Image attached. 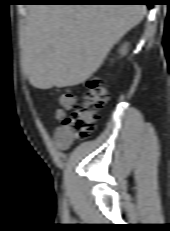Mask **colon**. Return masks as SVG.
I'll return each instance as SVG.
<instances>
[{
  "label": "colon",
  "mask_w": 170,
  "mask_h": 231,
  "mask_svg": "<svg viewBox=\"0 0 170 231\" xmlns=\"http://www.w3.org/2000/svg\"><path fill=\"white\" fill-rule=\"evenodd\" d=\"M108 99V90L103 80L97 76L88 81L86 92L71 116L66 117L64 109L74 106L73 94L70 91H65L58 96L59 108H57L55 116L61 121L62 133L67 142L72 143L85 139L91 134L99 118L98 111L107 103Z\"/></svg>",
  "instance_id": "5ec220e1"
}]
</instances>
